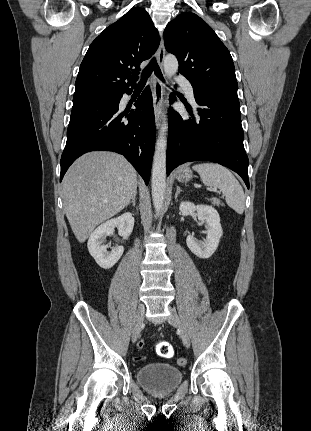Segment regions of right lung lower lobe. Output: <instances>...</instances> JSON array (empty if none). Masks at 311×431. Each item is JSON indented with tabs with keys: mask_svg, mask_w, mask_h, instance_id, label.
I'll list each match as a JSON object with an SVG mask.
<instances>
[{
	"mask_svg": "<svg viewBox=\"0 0 311 431\" xmlns=\"http://www.w3.org/2000/svg\"><path fill=\"white\" fill-rule=\"evenodd\" d=\"M124 93L73 102L67 142L61 156L60 181L82 154L109 150L124 155L148 184L155 142L152 96L147 87L134 104L136 109L119 114ZM129 112V114H128ZM127 116L128 120L121 117Z\"/></svg>",
	"mask_w": 311,
	"mask_h": 431,
	"instance_id": "98d812e1",
	"label": "right lung lower lobe"
}]
</instances>
